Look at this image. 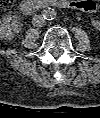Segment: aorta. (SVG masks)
<instances>
[{
	"mask_svg": "<svg viewBox=\"0 0 100 118\" xmlns=\"http://www.w3.org/2000/svg\"><path fill=\"white\" fill-rule=\"evenodd\" d=\"M43 16L46 20H54L57 16V12L54 8L48 7L43 10Z\"/></svg>",
	"mask_w": 100,
	"mask_h": 118,
	"instance_id": "obj_1",
	"label": "aorta"
}]
</instances>
